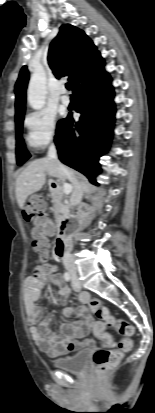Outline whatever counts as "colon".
<instances>
[{"instance_id":"1","label":"colon","mask_w":155,"mask_h":413,"mask_svg":"<svg viewBox=\"0 0 155 413\" xmlns=\"http://www.w3.org/2000/svg\"><path fill=\"white\" fill-rule=\"evenodd\" d=\"M45 194L36 192L34 197L27 199V206L22 210V215L27 223L32 226V247L38 253L40 259L45 260L50 248V242L44 234L43 227L48 224V218L45 212L43 200ZM46 271L50 270L48 265H44ZM90 308L95 316L109 325H111L119 334L124 335L117 348H99L93 356V361L100 374H104L115 368L121 361L123 353L131 350L132 341L130 336L134 329L125 319L114 317L110 314L109 309L97 298L89 301ZM106 344V342H104Z\"/></svg>"}]
</instances>
